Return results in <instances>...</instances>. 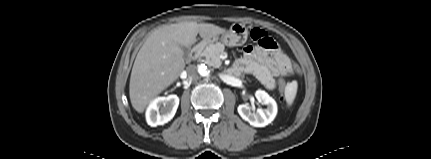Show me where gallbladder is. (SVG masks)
<instances>
[{"label": "gallbladder", "instance_id": "obj_1", "mask_svg": "<svg viewBox=\"0 0 431 159\" xmlns=\"http://www.w3.org/2000/svg\"><path fill=\"white\" fill-rule=\"evenodd\" d=\"M181 49H182V51H183L184 55H185V56H187V55H188V53H189V48H188V47H186V46H181Z\"/></svg>", "mask_w": 431, "mask_h": 159}]
</instances>
